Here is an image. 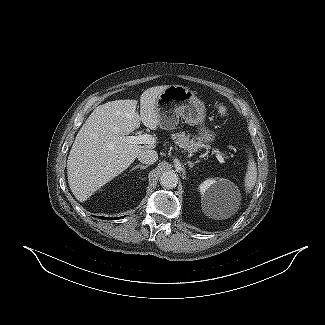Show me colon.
<instances>
[{
	"label": "colon",
	"mask_w": 325,
	"mask_h": 325,
	"mask_svg": "<svg viewBox=\"0 0 325 325\" xmlns=\"http://www.w3.org/2000/svg\"><path fill=\"white\" fill-rule=\"evenodd\" d=\"M218 112L221 116H226L227 114V108L224 105H218L217 106Z\"/></svg>",
	"instance_id": "5ec220e1"
}]
</instances>
